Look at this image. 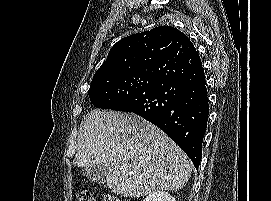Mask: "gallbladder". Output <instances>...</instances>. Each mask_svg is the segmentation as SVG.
Instances as JSON below:
<instances>
[{"label":"gallbladder","mask_w":271,"mask_h":201,"mask_svg":"<svg viewBox=\"0 0 271 201\" xmlns=\"http://www.w3.org/2000/svg\"><path fill=\"white\" fill-rule=\"evenodd\" d=\"M84 176L89 178L92 182L98 184H104L108 175V168L104 163L94 165L90 168H84L82 170Z\"/></svg>","instance_id":"1"}]
</instances>
